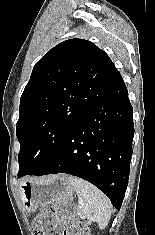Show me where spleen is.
<instances>
[{"instance_id": "spleen-1", "label": "spleen", "mask_w": 155, "mask_h": 235, "mask_svg": "<svg viewBox=\"0 0 155 235\" xmlns=\"http://www.w3.org/2000/svg\"><path fill=\"white\" fill-rule=\"evenodd\" d=\"M68 181L78 196L79 215L96 222L100 229H104L111 216V204L107 196L81 178L70 176Z\"/></svg>"}]
</instances>
